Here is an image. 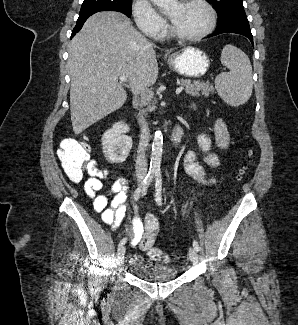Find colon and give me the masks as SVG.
<instances>
[{
    "instance_id": "obj_1",
    "label": "colon",
    "mask_w": 298,
    "mask_h": 325,
    "mask_svg": "<svg viewBox=\"0 0 298 325\" xmlns=\"http://www.w3.org/2000/svg\"><path fill=\"white\" fill-rule=\"evenodd\" d=\"M59 158L66 176L73 182L81 181L85 172L89 174L97 167L95 161L89 159L88 147L85 144L63 147L59 152ZM144 228L145 231L139 241L140 248L155 261L170 262V256L155 247V237L159 231L157 218L154 215H147L144 219Z\"/></svg>"
}]
</instances>
